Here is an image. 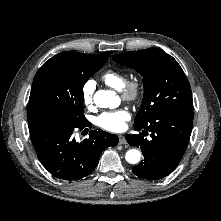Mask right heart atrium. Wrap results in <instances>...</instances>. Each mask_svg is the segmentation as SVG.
I'll use <instances>...</instances> for the list:
<instances>
[{
  "label": "right heart atrium",
  "mask_w": 221,
  "mask_h": 221,
  "mask_svg": "<svg viewBox=\"0 0 221 221\" xmlns=\"http://www.w3.org/2000/svg\"><path fill=\"white\" fill-rule=\"evenodd\" d=\"M96 84L94 80H87L83 87H82V99L84 104L87 107H92L93 106V96H94V91H95Z\"/></svg>",
  "instance_id": "obj_1"
}]
</instances>
